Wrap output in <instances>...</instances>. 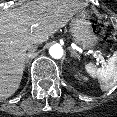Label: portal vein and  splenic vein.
I'll list each match as a JSON object with an SVG mask.
<instances>
[{"instance_id":"portal-vein-and-splenic-vein-1","label":"portal vein and splenic vein","mask_w":117,"mask_h":117,"mask_svg":"<svg viewBox=\"0 0 117 117\" xmlns=\"http://www.w3.org/2000/svg\"><path fill=\"white\" fill-rule=\"evenodd\" d=\"M37 26H38V25H33V26H31L29 32L32 33L34 27H37ZM89 53L93 54L95 57H97V59H99V58L103 59V58H102L103 56L100 54L99 51L90 50Z\"/></svg>"}]
</instances>
